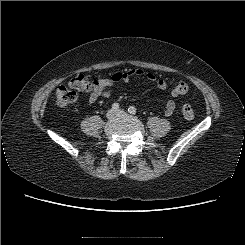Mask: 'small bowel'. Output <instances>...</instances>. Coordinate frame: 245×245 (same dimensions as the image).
Masks as SVG:
<instances>
[{"mask_svg":"<svg viewBox=\"0 0 245 245\" xmlns=\"http://www.w3.org/2000/svg\"><path fill=\"white\" fill-rule=\"evenodd\" d=\"M135 76H145L147 80L155 82L158 89L165 91L168 89V83L164 79H158L152 73H144L141 69H129L122 72H115L108 78H98L95 82L92 92L89 94V102L94 103L100 97L109 98L112 94L111 87L120 82L127 81ZM176 103L172 95H170L165 103V115L171 116L175 110Z\"/></svg>","mask_w":245,"mask_h":245,"instance_id":"obj_1","label":"small bowel"}]
</instances>
